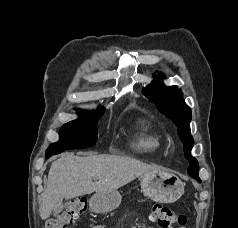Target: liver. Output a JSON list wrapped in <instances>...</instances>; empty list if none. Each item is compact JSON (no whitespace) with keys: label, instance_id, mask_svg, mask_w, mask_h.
I'll use <instances>...</instances> for the list:
<instances>
[{"label":"liver","instance_id":"obj_1","mask_svg":"<svg viewBox=\"0 0 238 228\" xmlns=\"http://www.w3.org/2000/svg\"><path fill=\"white\" fill-rule=\"evenodd\" d=\"M157 171L160 169L155 166L126 156H63L50 167L47 188L39 204L40 217L47 219L64 198L114 191L139 176Z\"/></svg>","mask_w":238,"mask_h":228}]
</instances>
